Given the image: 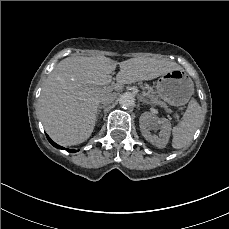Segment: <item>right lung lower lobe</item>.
Listing matches in <instances>:
<instances>
[{"label": "right lung lower lobe", "mask_w": 229, "mask_h": 229, "mask_svg": "<svg viewBox=\"0 0 229 229\" xmlns=\"http://www.w3.org/2000/svg\"><path fill=\"white\" fill-rule=\"evenodd\" d=\"M47 136V139L49 140V142L54 146V147H56V148H58V149H63L64 150V147H61V146H59L58 144H56L55 142H53L52 140H51V138L48 136V135H46ZM68 152H76V150H72V149H66Z\"/></svg>", "instance_id": "98d812e1"}]
</instances>
